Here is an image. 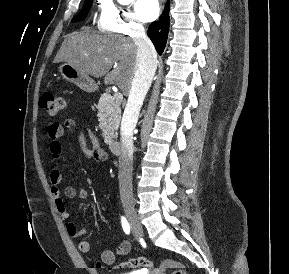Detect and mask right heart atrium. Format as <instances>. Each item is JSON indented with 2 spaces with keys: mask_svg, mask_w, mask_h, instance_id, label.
Returning a JSON list of instances; mask_svg holds the SVG:
<instances>
[{
  "mask_svg": "<svg viewBox=\"0 0 289 274\" xmlns=\"http://www.w3.org/2000/svg\"><path fill=\"white\" fill-rule=\"evenodd\" d=\"M98 26L103 31L126 36H134L143 31V25L137 16L113 0H100Z\"/></svg>",
  "mask_w": 289,
  "mask_h": 274,
  "instance_id": "right-heart-atrium-1",
  "label": "right heart atrium"
}]
</instances>
